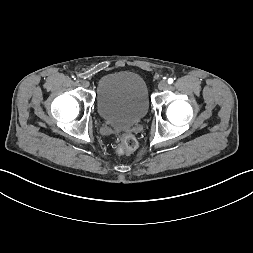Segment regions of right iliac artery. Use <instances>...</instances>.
<instances>
[{"label":"right iliac artery","instance_id":"obj_1","mask_svg":"<svg viewBox=\"0 0 253 253\" xmlns=\"http://www.w3.org/2000/svg\"><path fill=\"white\" fill-rule=\"evenodd\" d=\"M75 80H76V82H81V79H79V78H75Z\"/></svg>","mask_w":253,"mask_h":253}]
</instances>
